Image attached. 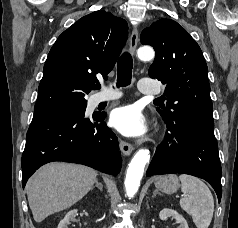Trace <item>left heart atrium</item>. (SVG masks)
<instances>
[{"instance_id": "1", "label": "left heart atrium", "mask_w": 238, "mask_h": 228, "mask_svg": "<svg viewBox=\"0 0 238 228\" xmlns=\"http://www.w3.org/2000/svg\"><path fill=\"white\" fill-rule=\"evenodd\" d=\"M110 122L120 133L129 137L141 136L147 131L145 117L133 105L116 108L111 113Z\"/></svg>"}]
</instances>
